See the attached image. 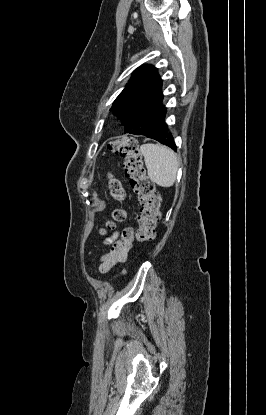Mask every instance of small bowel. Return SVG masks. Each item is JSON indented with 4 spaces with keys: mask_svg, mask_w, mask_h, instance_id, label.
<instances>
[{
    "mask_svg": "<svg viewBox=\"0 0 266 415\" xmlns=\"http://www.w3.org/2000/svg\"><path fill=\"white\" fill-rule=\"evenodd\" d=\"M133 241L134 231L131 227L127 226L121 231L115 232L113 237L107 240L110 249L100 259V273H106L115 265L125 262Z\"/></svg>",
    "mask_w": 266,
    "mask_h": 415,
    "instance_id": "c3829d8e",
    "label": "small bowel"
}]
</instances>
